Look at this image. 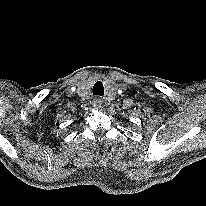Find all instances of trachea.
<instances>
[{
  "mask_svg": "<svg viewBox=\"0 0 206 206\" xmlns=\"http://www.w3.org/2000/svg\"><path fill=\"white\" fill-rule=\"evenodd\" d=\"M104 88L101 82H97L93 87V95L103 96Z\"/></svg>",
  "mask_w": 206,
  "mask_h": 206,
  "instance_id": "1",
  "label": "trachea"
}]
</instances>
